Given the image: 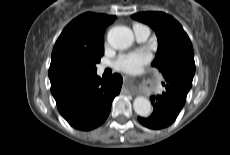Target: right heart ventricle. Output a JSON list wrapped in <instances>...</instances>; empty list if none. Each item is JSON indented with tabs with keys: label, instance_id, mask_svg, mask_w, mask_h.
Segmentation results:
<instances>
[{
	"label": "right heart ventricle",
	"instance_id": "right-heart-ventricle-1",
	"mask_svg": "<svg viewBox=\"0 0 230 155\" xmlns=\"http://www.w3.org/2000/svg\"><path fill=\"white\" fill-rule=\"evenodd\" d=\"M140 27H145L144 25H141V24H134L133 25V30L137 29V28H140Z\"/></svg>",
	"mask_w": 230,
	"mask_h": 155
}]
</instances>
